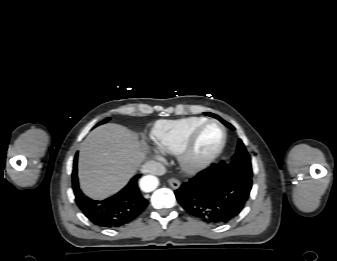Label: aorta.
Returning <instances> with one entry per match:
<instances>
[{
  "label": "aorta",
  "instance_id": "aorta-1",
  "mask_svg": "<svg viewBox=\"0 0 337 261\" xmlns=\"http://www.w3.org/2000/svg\"><path fill=\"white\" fill-rule=\"evenodd\" d=\"M159 184L158 179L153 175L144 176L140 180V188L144 192H151L157 188Z\"/></svg>",
  "mask_w": 337,
  "mask_h": 261
}]
</instances>
